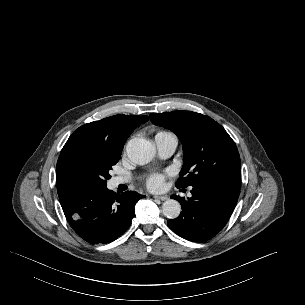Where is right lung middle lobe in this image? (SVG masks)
Instances as JSON below:
<instances>
[{
  "label": "right lung middle lobe",
  "instance_id": "1",
  "mask_svg": "<svg viewBox=\"0 0 305 305\" xmlns=\"http://www.w3.org/2000/svg\"><path fill=\"white\" fill-rule=\"evenodd\" d=\"M121 156V151L85 135H71L57 161V187H106L109 170Z\"/></svg>",
  "mask_w": 305,
  "mask_h": 305
}]
</instances>
